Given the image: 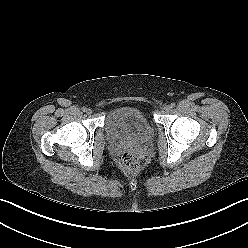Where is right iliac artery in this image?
<instances>
[{"label": "right iliac artery", "instance_id": "obj_1", "mask_svg": "<svg viewBox=\"0 0 248 248\" xmlns=\"http://www.w3.org/2000/svg\"><path fill=\"white\" fill-rule=\"evenodd\" d=\"M82 111L83 112H86L87 111V108L86 107H82Z\"/></svg>", "mask_w": 248, "mask_h": 248}]
</instances>
